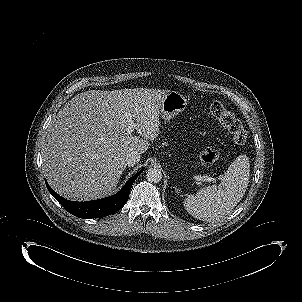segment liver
Returning <instances> with one entry per match:
<instances>
[{
  "label": "liver",
  "instance_id": "6515ba94",
  "mask_svg": "<svg viewBox=\"0 0 302 302\" xmlns=\"http://www.w3.org/2000/svg\"><path fill=\"white\" fill-rule=\"evenodd\" d=\"M169 91L143 88L91 90L74 96L53 119L43 150L49 185L73 201L113 192L130 152L143 154L159 135L158 110ZM137 133L128 134V114Z\"/></svg>",
  "mask_w": 302,
  "mask_h": 302
}]
</instances>
